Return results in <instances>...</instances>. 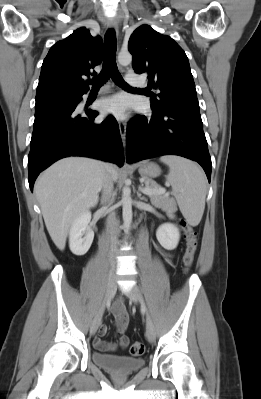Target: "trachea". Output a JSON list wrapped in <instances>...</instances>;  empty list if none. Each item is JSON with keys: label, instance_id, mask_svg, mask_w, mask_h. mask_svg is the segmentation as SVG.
I'll list each match as a JSON object with an SVG mask.
<instances>
[{"label": "trachea", "instance_id": "trachea-1", "mask_svg": "<svg viewBox=\"0 0 261 399\" xmlns=\"http://www.w3.org/2000/svg\"><path fill=\"white\" fill-rule=\"evenodd\" d=\"M104 61L103 67L99 75L93 78L92 83L93 88H98L112 78V80L123 88H130L127 85L122 76L120 75L117 65H116V34L113 29H109L105 34L104 39Z\"/></svg>", "mask_w": 261, "mask_h": 399}]
</instances>
